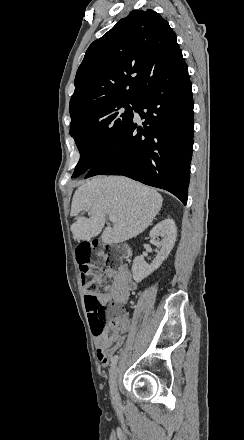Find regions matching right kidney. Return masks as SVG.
<instances>
[{"label": "right kidney", "instance_id": "obj_1", "mask_svg": "<svg viewBox=\"0 0 244 440\" xmlns=\"http://www.w3.org/2000/svg\"><path fill=\"white\" fill-rule=\"evenodd\" d=\"M159 236L163 238L162 242H158L157 244V246H161V250L150 266L146 264L143 256H137V258H135L132 266L133 280H135V282H142L144 278H147L149 274L157 270L162 262L168 258V254H170L177 238V228L174 220L166 218V220L159 222L155 228H152L150 238L156 240Z\"/></svg>", "mask_w": 244, "mask_h": 440}]
</instances>
